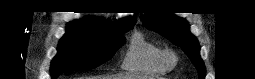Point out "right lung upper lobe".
Listing matches in <instances>:
<instances>
[{
    "mask_svg": "<svg viewBox=\"0 0 255 79\" xmlns=\"http://www.w3.org/2000/svg\"><path fill=\"white\" fill-rule=\"evenodd\" d=\"M135 24L133 18L128 17L117 22L103 21L97 18L87 17L80 21H73L67 25V31L81 32L95 35L113 37L125 27Z\"/></svg>",
    "mask_w": 255,
    "mask_h": 79,
    "instance_id": "1",
    "label": "right lung upper lobe"
}]
</instances>
